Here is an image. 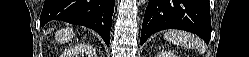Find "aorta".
I'll return each instance as SVG.
<instances>
[{
  "label": "aorta",
  "mask_w": 249,
  "mask_h": 57,
  "mask_svg": "<svg viewBox=\"0 0 249 57\" xmlns=\"http://www.w3.org/2000/svg\"><path fill=\"white\" fill-rule=\"evenodd\" d=\"M139 2H140L141 4H145V3L147 2V0H139Z\"/></svg>",
  "instance_id": "762f6f07"
}]
</instances>
